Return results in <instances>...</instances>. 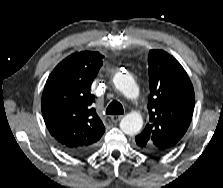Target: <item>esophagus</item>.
Returning <instances> with one entry per match:
<instances>
[{"mask_svg": "<svg viewBox=\"0 0 223 188\" xmlns=\"http://www.w3.org/2000/svg\"><path fill=\"white\" fill-rule=\"evenodd\" d=\"M122 118H123V115H114V116H111V120L114 123L120 121Z\"/></svg>", "mask_w": 223, "mask_h": 188, "instance_id": "34e87169", "label": "esophagus"}]
</instances>
